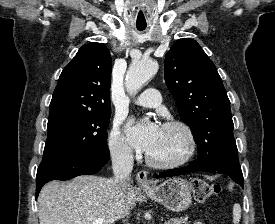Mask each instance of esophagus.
<instances>
[{
    "instance_id": "esophagus-1",
    "label": "esophagus",
    "mask_w": 275,
    "mask_h": 224,
    "mask_svg": "<svg viewBox=\"0 0 275 224\" xmlns=\"http://www.w3.org/2000/svg\"><path fill=\"white\" fill-rule=\"evenodd\" d=\"M137 182L138 185L142 188H149L151 186V182L148 178V173L144 170L138 172L137 174Z\"/></svg>"
}]
</instances>
